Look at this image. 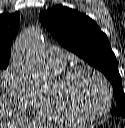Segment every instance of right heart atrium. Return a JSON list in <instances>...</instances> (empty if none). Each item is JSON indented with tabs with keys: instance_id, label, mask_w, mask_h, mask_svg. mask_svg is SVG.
Segmentation results:
<instances>
[{
	"instance_id": "right-heart-atrium-1",
	"label": "right heart atrium",
	"mask_w": 125,
	"mask_h": 128,
	"mask_svg": "<svg viewBox=\"0 0 125 128\" xmlns=\"http://www.w3.org/2000/svg\"><path fill=\"white\" fill-rule=\"evenodd\" d=\"M12 105L23 112H31L40 92L21 72L12 69L7 75Z\"/></svg>"
}]
</instances>
